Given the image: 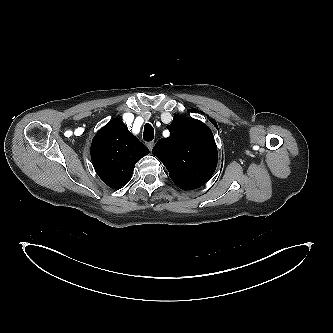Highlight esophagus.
Returning <instances> with one entry per match:
<instances>
[{
	"mask_svg": "<svg viewBox=\"0 0 333 333\" xmlns=\"http://www.w3.org/2000/svg\"><path fill=\"white\" fill-rule=\"evenodd\" d=\"M147 147H148V149L150 150V151H152V149H153V147H154V142L152 141V142H148L147 143Z\"/></svg>",
	"mask_w": 333,
	"mask_h": 333,
	"instance_id": "obj_1",
	"label": "esophagus"
}]
</instances>
